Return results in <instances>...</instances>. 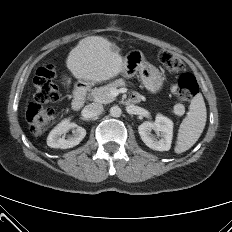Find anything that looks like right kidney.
I'll use <instances>...</instances> for the list:
<instances>
[{
    "mask_svg": "<svg viewBox=\"0 0 232 232\" xmlns=\"http://www.w3.org/2000/svg\"><path fill=\"white\" fill-rule=\"evenodd\" d=\"M72 130V135L65 137L66 133ZM86 135V130L69 120L58 124L49 134L47 145L51 148L67 149L78 145Z\"/></svg>",
    "mask_w": 232,
    "mask_h": 232,
    "instance_id": "obj_1",
    "label": "right kidney"
}]
</instances>
